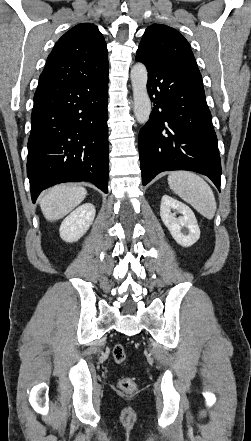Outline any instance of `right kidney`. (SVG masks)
<instances>
[{
  "label": "right kidney",
  "instance_id": "right-kidney-1",
  "mask_svg": "<svg viewBox=\"0 0 251 441\" xmlns=\"http://www.w3.org/2000/svg\"><path fill=\"white\" fill-rule=\"evenodd\" d=\"M95 213L91 203L79 206L63 220L59 229L60 237L70 243L79 240L91 226Z\"/></svg>",
  "mask_w": 251,
  "mask_h": 441
}]
</instances>
